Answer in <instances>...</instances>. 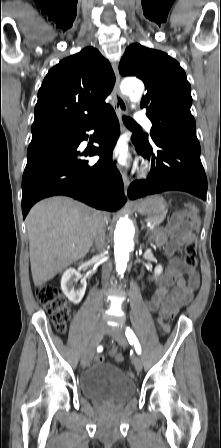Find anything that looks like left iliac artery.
Wrapping results in <instances>:
<instances>
[{
    "instance_id": "left-iliac-artery-1",
    "label": "left iliac artery",
    "mask_w": 221,
    "mask_h": 448,
    "mask_svg": "<svg viewBox=\"0 0 221 448\" xmlns=\"http://www.w3.org/2000/svg\"><path fill=\"white\" fill-rule=\"evenodd\" d=\"M125 334L128 339V342L131 345H134L137 354H141V345H140L136 335L134 334V332L129 327H127L125 330Z\"/></svg>"
}]
</instances>
